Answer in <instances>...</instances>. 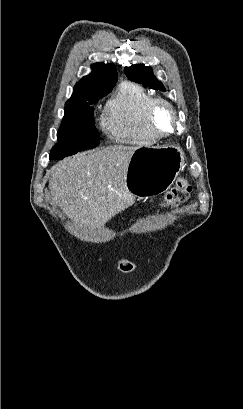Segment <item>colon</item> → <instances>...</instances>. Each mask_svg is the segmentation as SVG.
I'll return each instance as SVG.
<instances>
[{
    "label": "colon",
    "mask_w": 243,
    "mask_h": 409,
    "mask_svg": "<svg viewBox=\"0 0 243 409\" xmlns=\"http://www.w3.org/2000/svg\"><path fill=\"white\" fill-rule=\"evenodd\" d=\"M191 186L186 178H179L175 185L165 194L162 201L164 207H175L185 201L190 194Z\"/></svg>",
    "instance_id": "5ec220e1"
}]
</instances>
